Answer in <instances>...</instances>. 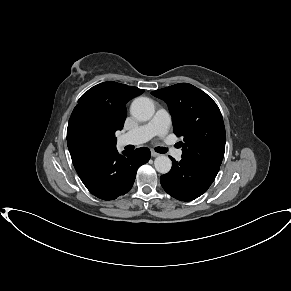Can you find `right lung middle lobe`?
I'll return each instance as SVG.
<instances>
[{
  "mask_svg": "<svg viewBox=\"0 0 291 291\" xmlns=\"http://www.w3.org/2000/svg\"><path fill=\"white\" fill-rule=\"evenodd\" d=\"M68 140L86 141L98 145L96 130L92 125L86 122H77L68 126L67 141Z\"/></svg>",
  "mask_w": 291,
  "mask_h": 291,
  "instance_id": "1",
  "label": "right lung middle lobe"
}]
</instances>
